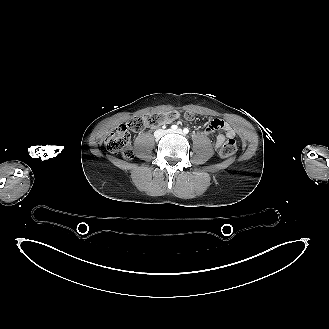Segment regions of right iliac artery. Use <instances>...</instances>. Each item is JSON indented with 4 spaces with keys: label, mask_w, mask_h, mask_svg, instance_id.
I'll return each instance as SVG.
<instances>
[{
    "label": "right iliac artery",
    "mask_w": 329,
    "mask_h": 329,
    "mask_svg": "<svg viewBox=\"0 0 329 329\" xmlns=\"http://www.w3.org/2000/svg\"><path fill=\"white\" fill-rule=\"evenodd\" d=\"M177 128H178L177 125H172V126H171V129H172V130H176Z\"/></svg>",
    "instance_id": "right-iliac-artery-1"
}]
</instances>
